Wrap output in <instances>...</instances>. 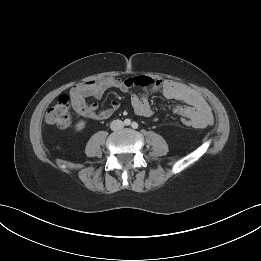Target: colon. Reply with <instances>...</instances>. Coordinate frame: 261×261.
I'll list each match as a JSON object with an SVG mask.
<instances>
[{"mask_svg": "<svg viewBox=\"0 0 261 261\" xmlns=\"http://www.w3.org/2000/svg\"><path fill=\"white\" fill-rule=\"evenodd\" d=\"M46 122L59 128H67L71 124V113L68 97L63 95L46 114ZM181 122L185 126H192V121L183 117Z\"/></svg>", "mask_w": 261, "mask_h": 261, "instance_id": "colon-1", "label": "colon"}]
</instances>
